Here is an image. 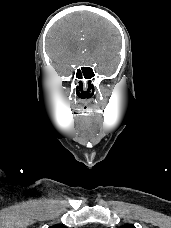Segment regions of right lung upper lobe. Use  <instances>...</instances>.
Returning a JSON list of instances; mask_svg holds the SVG:
<instances>
[{
  "label": "right lung upper lobe",
  "mask_w": 171,
  "mask_h": 228,
  "mask_svg": "<svg viewBox=\"0 0 171 228\" xmlns=\"http://www.w3.org/2000/svg\"><path fill=\"white\" fill-rule=\"evenodd\" d=\"M49 228H66V227L61 226V225H54V226H51V227H49Z\"/></svg>",
  "instance_id": "1"
}]
</instances>
